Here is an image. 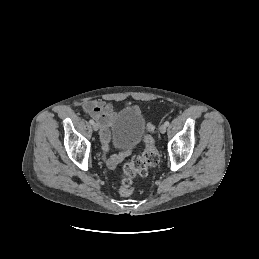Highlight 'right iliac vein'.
I'll return each instance as SVG.
<instances>
[{"label":"right iliac vein","mask_w":259,"mask_h":259,"mask_svg":"<svg viewBox=\"0 0 259 259\" xmlns=\"http://www.w3.org/2000/svg\"><path fill=\"white\" fill-rule=\"evenodd\" d=\"M92 127H93L94 131H98L99 130V125L97 123H94Z\"/></svg>","instance_id":"63e3f726"}]
</instances>
